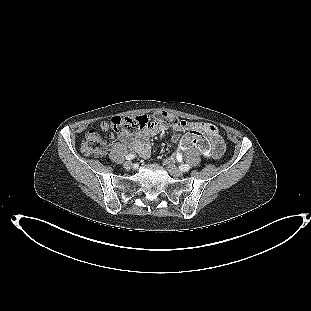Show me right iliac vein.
Returning <instances> with one entry per match:
<instances>
[{
	"label": "right iliac vein",
	"instance_id": "obj_1",
	"mask_svg": "<svg viewBox=\"0 0 311 311\" xmlns=\"http://www.w3.org/2000/svg\"><path fill=\"white\" fill-rule=\"evenodd\" d=\"M124 168L125 169H131L132 166H133V163L131 161H126L124 164H123Z\"/></svg>",
	"mask_w": 311,
	"mask_h": 311
}]
</instances>
